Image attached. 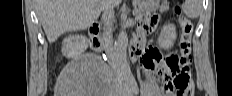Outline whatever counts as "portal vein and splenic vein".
Wrapping results in <instances>:
<instances>
[{
	"mask_svg": "<svg viewBox=\"0 0 232 96\" xmlns=\"http://www.w3.org/2000/svg\"><path fill=\"white\" fill-rule=\"evenodd\" d=\"M140 17H141V16H139V17L136 16L137 19H140Z\"/></svg>",
	"mask_w": 232,
	"mask_h": 96,
	"instance_id": "obj_1",
	"label": "portal vein and splenic vein"
}]
</instances>
